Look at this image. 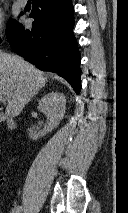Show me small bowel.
Segmentation results:
<instances>
[{
  "label": "small bowel",
  "instance_id": "obj_1",
  "mask_svg": "<svg viewBox=\"0 0 128 213\" xmlns=\"http://www.w3.org/2000/svg\"><path fill=\"white\" fill-rule=\"evenodd\" d=\"M4 181V176L0 174V182ZM22 212V207L19 206L17 203H14L11 209V213H21Z\"/></svg>",
  "mask_w": 128,
  "mask_h": 213
}]
</instances>
